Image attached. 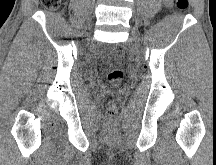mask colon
I'll use <instances>...</instances> for the list:
<instances>
[{"label":"colon","mask_w":216,"mask_h":165,"mask_svg":"<svg viewBox=\"0 0 216 165\" xmlns=\"http://www.w3.org/2000/svg\"><path fill=\"white\" fill-rule=\"evenodd\" d=\"M42 4L50 9H55L59 6L60 0H41ZM189 6V0H176V7L181 13H185ZM107 80L112 88H118L122 85L124 80V72L121 69L113 68L107 72ZM107 102L110 104L108 109V118L114 120L117 114V110L113 105L115 96L112 92H109L106 96Z\"/></svg>","instance_id":"5ec220e1"}]
</instances>
